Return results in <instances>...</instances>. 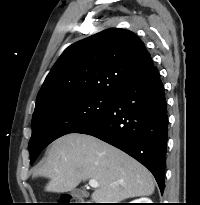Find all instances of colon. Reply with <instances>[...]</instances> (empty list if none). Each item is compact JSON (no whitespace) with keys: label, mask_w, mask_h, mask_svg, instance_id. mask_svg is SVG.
<instances>
[{"label":"colon","mask_w":200,"mask_h":205,"mask_svg":"<svg viewBox=\"0 0 200 205\" xmlns=\"http://www.w3.org/2000/svg\"><path fill=\"white\" fill-rule=\"evenodd\" d=\"M56 205H86L79 197L72 195L63 196Z\"/></svg>","instance_id":"1"}]
</instances>
